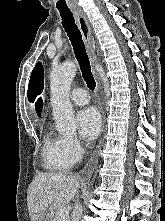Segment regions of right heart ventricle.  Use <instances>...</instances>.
Listing matches in <instances>:
<instances>
[{"label": "right heart ventricle", "mask_w": 165, "mask_h": 221, "mask_svg": "<svg viewBox=\"0 0 165 221\" xmlns=\"http://www.w3.org/2000/svg\"><path fill=\"white\" fill-rule=\"evenodd\" d=\"M41 155L44 167L51 171L67 170L76 161V158L66 151L64 137L58 136L51 131L45 133L43 137Z\"/></svg>", "instance_id": "obj_1"}]
</instances>
